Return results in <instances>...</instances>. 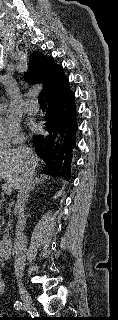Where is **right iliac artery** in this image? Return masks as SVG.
I'll list each match as a JSON object with an SVG mask.
<instances>
[{"mask_svg":"<svg viewBox=\"0 0 118 320\" xmlns=\"http://www.w3.org/2000/svg\"><path fill=\"white\" fill-rule=\"evenodd\" d=\"M14 307H15L16 310H20V309L23 308V304H22V302H20V301H16V302L14 303Z\"/></svg>","mask_w":118,"mask_h":320,"instance_id":"right-iliac-artery-1","label":"right iliac artery"}]
</instances>
